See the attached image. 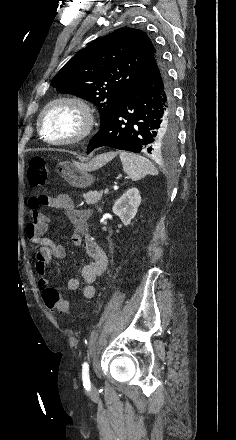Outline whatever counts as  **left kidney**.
<instances>
[{
	"label": "left kidney",
	"mask_w": 236,
	"mask_h": 440,
	"mask_svg": "<svg viewBox=\"0 0 236 440\" xmlns=\"http://www.w3.org/2000/svg\"><path fill=\"white\" fill-rule=\"evenodd\" d=\"M140 204V192L137 188L132 187L114 203L112 211L127 226L136 216Z\"/></svg>",
	"instance_id": "5707ae66"
}]
</instances>
